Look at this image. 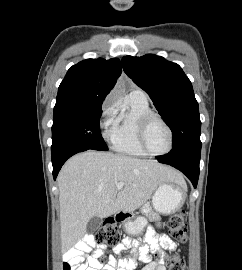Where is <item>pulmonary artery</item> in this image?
Masks as SVG:
<instances>
[{
	"mask_svg": "<svg viewBox=\"0 0 242 270\" xmlns=\"http://www.w3.org/2000/svg\"><path fill=\"white\" fill-rule=\"evenodd\" d=\"M131 95H133L139 99H142V100H147V96H146L145 92L141 89H136V90L132 91Z\"/></svg>",
	"mask_w": 242,
	"mask_h": 270,
	"instance_id": "pulmonary-artery-1",
	"label": "pulmonary artery"
}]
</instances>
